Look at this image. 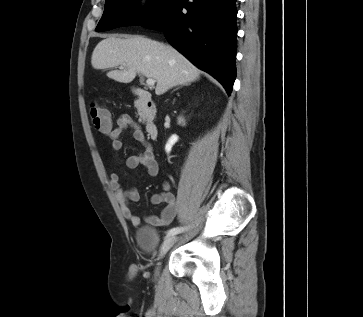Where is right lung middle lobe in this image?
Listing matches in <instances>:
<instances>
[{
	"label": "right lung middle lobe",
	"mask_w": 363,
	"mask_h": 317,
	"mask_svg": "<svg viewBox=\"0 0 363 317\" xmlns=\"http://www.w3.org/2000/svg\"><path fill=\"white\" fill-rule=\"evenodd\" d=\"M134 0H106L105 9L96 31H107L123 26H143L161 17L175 0H151L150 6L141 11Z\"/></svg>",
	"instance_id": "obj_1"
}]
</instances>
